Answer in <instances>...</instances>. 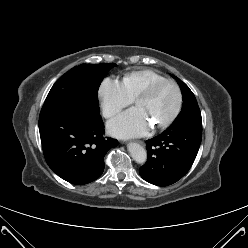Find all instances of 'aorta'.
I'll return each mask as SVG.
<instances>
[{
	"label": "aorta",
	"instance_id": "762f6f07",
	"mask_svg": "<svg viewBox=\"0 0 248 248\" xmlns=\"http://www.w3.org/2000/svg\"><path fill=\"white\" fill-rule=\"evenodd\" d=\"M128 151L133 160L138 164H144L147 160L146 150L138 143H130Z\"/></svg>",
	"mask_w": 248,
	"mask_h": 248
}]
</instances>
